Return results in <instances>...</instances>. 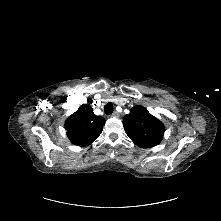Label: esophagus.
I'll return each instance as SVG.
<instances>
[{
    "label": "esophagus",
    "instance_id": "34e87169",
    "mask_svg": "<svg viewBox=\"0 0 221 221\" xmlns=\"http://www.w3.org/2000/svg\"><path fill=\"white\" fill-rule=\"evenodd\" d=\"M110 117L117 118V117H119V113L118 112H114L112 115H110Z\"/></svg>",
    "mask_w": 221,
    "mask_h": 221
}]
</instances>
